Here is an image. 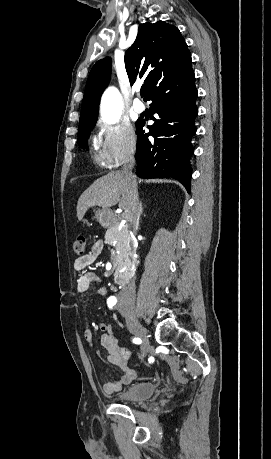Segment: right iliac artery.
<instances>
[{
  "label": "right iliac artery",
  "mask_w": 271,
  "mask_h": 459,
  "mask_svg": "<svg viewBox=\"0 0 271 459\" xmlns=\"http://www.w3.org/2000/svg\"><path fill=\"white\" fill-rule=\"evenodd\" d=\"M117 300L113 297L107 299V304L109 308H112L116 304ZM134 341V340H133Z\"/></svg>",
  "instance_id": "right-iliac-artery-1"
}]
</instances>
